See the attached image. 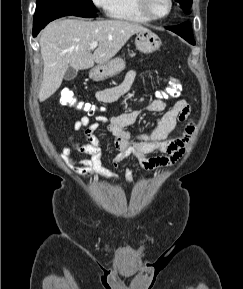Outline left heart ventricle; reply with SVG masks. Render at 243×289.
I'll use <instances>...</instances> for the list:
<instances>
[{
    "mask_svg": "<svg viewBox=\"0 0 243 289\" xmlns=\"http://www.w3.org/2000/svg\"><path fill=\"white\" fill-rule=\"evenodd\" d=\"M150 11L157 16L165 15L169 10L168 0H148Z\"/></svg>",
    "mask_w": 243,
    "mask_h": 289,
    "instance_id": "1",
    "label": "left heart ventricle"
}]
</instances>
